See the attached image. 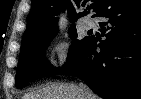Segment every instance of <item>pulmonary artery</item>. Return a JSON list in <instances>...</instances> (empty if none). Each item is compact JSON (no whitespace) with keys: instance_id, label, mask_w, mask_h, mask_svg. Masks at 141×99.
Returning a JSON list of instances; mask_svg holds the SVG:
<instances>
[{"instance_id":"e3ab8cb5","label":"pulmonary artery","mask_w":141,"mask_h":99,"mask_svg":"<svg viewBox=\"0 0 141 99\" xmlns=\"http://www.w3.org/2000/svg\"><path fill=\"white\" fill-rule=\"evenodd\" d=\"M94 26H95V22L92 19L87 18L85 20L84 22L85 29L89 30V29H92Z\"/></svg>"}]
</instances>
